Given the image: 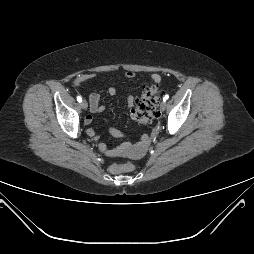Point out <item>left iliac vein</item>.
Listing matches in <instances>:
<instances>
[{
	"label": "left iliac vein",
	"mask_w": 254,
	"mask_h": 254,
	"mask_svg": "<svg viewBox=\"0 0 254 254\" xmlns=\"http://www.w3.org/2000/svg\"><path fill=\"white\" fill-rule=\"evenodd\" d=\"M166 102H164V101H162L161 103H160V110L161 111H164L165 109H166Z\"/></svg>",
	"instance_id": "obj_1"
}]
</instances>
